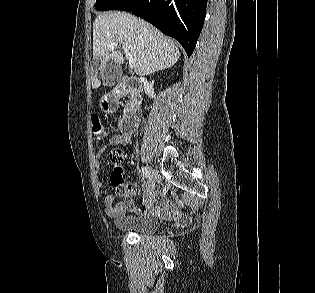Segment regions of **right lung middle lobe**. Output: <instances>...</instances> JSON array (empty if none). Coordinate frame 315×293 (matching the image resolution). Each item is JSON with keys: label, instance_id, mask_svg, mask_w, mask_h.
Listing matches in <instances>:
<instances>
[{"label": "right lung middle lobe", "instance_id": "obj_1", "mask_svg": "<svg viewBox=\"0 0 315 293\" xmlns=\"http://www.w3.org/2000/svg\"><path fill=\"white\" fill-rule=\"evenodd\" d=\"M122 0H96V9L99 11H106L113 9Z\"/></svg>", "mask_w": 315, "mask_h": 293}]
</instances>
